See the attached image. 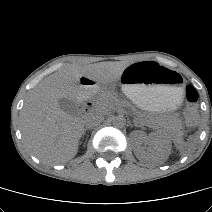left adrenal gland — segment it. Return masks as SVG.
I'll list each match as a JSON object with an SVG mask.
<instances>
[{
  "label": "left adrenal gland",
  "mask_w": 212,
  "mask_h": 212,
  "mask_svg": "<svg viewBox=\"0 0 212 212\" xmlns=\"http://www.w3.org/2000/svg\"><path fill=\"white\" fill-rule=\"evenodd\" d=\"M134 125H135L136 127H140V126L138 125V123H136V122L134 123Z\"/></svg>",
  "instance_id": "left-adrenal-gland-1"
}]
</instances>
